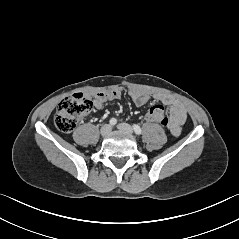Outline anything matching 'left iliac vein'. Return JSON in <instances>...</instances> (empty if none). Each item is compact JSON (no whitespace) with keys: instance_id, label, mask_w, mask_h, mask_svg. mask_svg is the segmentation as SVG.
Here are the masks:
<instances>
[{"instance_id":"left-iliac-vein-1","label":"left iliac vein","mask_w":239,"mask_h":239,"mask_svg":"<svg viewBox=\"0 0 239 239\" xmlns=\"http://www.w3.org/2000/svg\"><path fill=\"white\" fill-rule=\"evenodd\" d=\"M117 128L120 131L126 132L128 134H132L133 133V128L129 124H127V123H120V124L117 125Z\"/></svg>"}]
</instances>
